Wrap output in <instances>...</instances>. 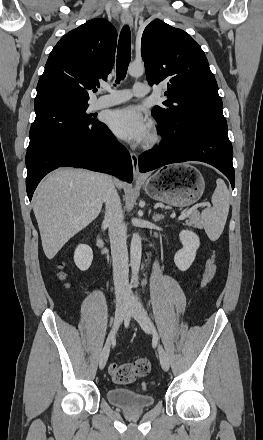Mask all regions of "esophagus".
<instances>
[{
  "mask_svg": "<svg viewBox=\"0 0 263 440\" xmlns=\"http://www.w3.org/2000/svg\"><path fill=\"white\" fill-rule=\"evenodd\" d=\"M121 21L123 24L133 27V19L131 14L128 11H123L121 13ZM131 160L133 166V176L134 179L139 180L142 179V175L139 172V163H138V155L134 152L131 153Z\"/></svg>",
  "mask_w": 263,
  "mask_h": 440,
  "instance_id": "obj_1",
  "label": "esophagus"
}]
</instances>
